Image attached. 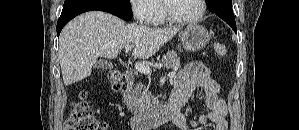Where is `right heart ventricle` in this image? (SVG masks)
<instances>
[{
    "label": "right heart ventricle",
    "mask_w": 299,
    "mask_h": 130,
    "mask_svg": "<svg viewBox=\"0 0 299 130\" xmlns=\"http://www.w3.org/2000/svg\"><path fill=\"white\" fill-rule=\"evenodd\" d=\"M151 19L149 21L152 25H163L167 22V19L163 11V1L155 0L151 6Z\"/></svg>",
    "instance_id": "obj_1"
}]
</instances>
